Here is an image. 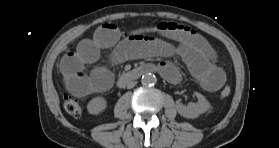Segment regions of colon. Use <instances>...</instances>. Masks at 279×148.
<instances>
[{
  "mask_svg": "<svg viewBox=\"0 0 279 148\" xmlns=\"http://www.w3.org/2000/svg\"><path fill=\"white\" fill-rule=\"evenodd\" d=\"M157 27H137L131 30H120L121 34L125 37H139L147 35L150 32H153ZM231 94V88L229 86H225L221 92L220 97L222 99H227ZM64 107L68 114L74 117H78L82 113V105L81 101L77 97L65 95L64 96Z\"/></svg>",
  "mask_w": 279,
  "mask_h": 148,
  "instance_id": "5ec220e1",
  "label": "colon"
}]
</instances>
